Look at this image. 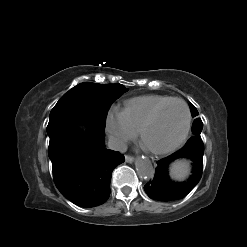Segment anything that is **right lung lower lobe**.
<instances>
[{"instance_id": "right-lung-lower-lobe-1", "label": "right lung lower lobe", "mask_w": 247, "mask_h": 247, "mask_svg": "<svg viewBox=\"0 0 247 247\" xmlns=\"http://www.w3.org/2000/svg\"><path fill=\"white\" fill-rule=\"evenodd\" d=\"M88 124L80 133L78 124ZM48 155L61 194L80 207L103 204L110 195L111 174L125 158L104 147V128L79 114L50 118Z\"/></svg>"}]
</instances>
